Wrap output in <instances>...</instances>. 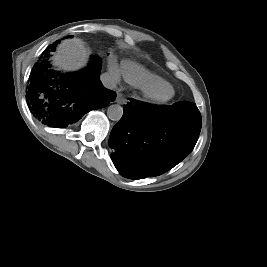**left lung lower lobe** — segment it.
I'll return each instance as SVG.
<instances>
[{
    "label": "left lung lower lobe",
    "mask_w": 267,
    "mask_h": 267,
    "mask_svg": "<svg viewBox=\"0 0 267 267\" xmlns=\"http://www.w3.org/2000/svg\"><path fill=\"white\" fill-rule=\"evenodd\" d=\"M201 125L194 103L157 106L131 99L109 137L113 164L130 179L161 175L190 153Z\"/></svg>",
    "instance_id": "0a47b994"
}]
</instances>
